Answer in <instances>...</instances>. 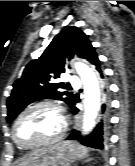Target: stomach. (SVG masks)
Instances as JSON below:
<instances>
[{"label": "stomach", "instance_id": "0dacf381", "mask_svg": "<svg viewBox=\"0 0 135 166\" xmlns=\"http://www.w3.org/2000/svg\"><path fill=\"white\" fill-rule=\"evenodd\" d=\"M77 159V145L59 143L34 151L23 166H70Z\"/></svg>", "mask_w": 135, "mask_h": 166}]
</instances>
